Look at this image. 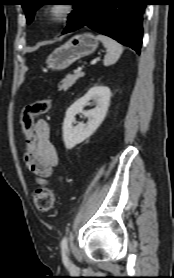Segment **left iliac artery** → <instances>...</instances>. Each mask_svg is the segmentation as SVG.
Here are the masks:
<instances>
[{
    "label": "left iliac artery",
    "instance_id": "1",
    "mask_svg": "<svg viewBox=\"0 0 174 278\" xmlns=\"http://www.w3.org/2000/svg\"><path fill=\"white\" fill-rule=\"evenodd\" d=\"M67 236H64L62 241H61V248H62V251H66L67 250V247H68V243H67Z\"/></svg>",
    "mask_w": 174,
    "mask_h": 278
}]
</instances>
